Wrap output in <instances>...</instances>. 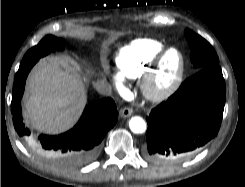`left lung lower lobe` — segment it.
I'll return each instance as SVG.
<instances>
[{"instance_id": "left-lung-lower-lobe-1", "label": "left lung lower lobe", "mask_w": 245, "mask_h": 187, "mask_svg": "<svg viewBox=\"0 0 245 187\" xmlns=\"http://www.w3.org/2000/svg\"><path fill=\"white\" fill-rule=\"evenodd\" d=\"M221 68L200 69L146 118V156L159 163L181 160L214 138L225 105Z\"/></svg>"}]
</instances>
